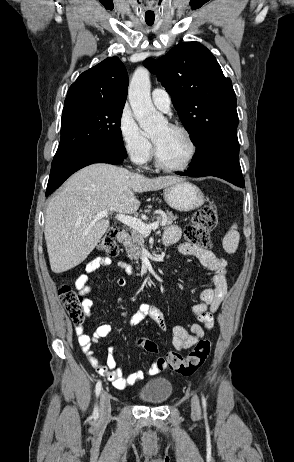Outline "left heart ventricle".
I'll use <instances>...</instances> for the list:
<instances>
[{
    "instance_id": "obj_1",
    "label": "left heart ventricle",
    "mask_w": 294,
    "mask_h": 462,
    "mask_svg": "<svg viewBox=\"0 0 294 462\" xmlns=\"http://www.w3.org/2000/svg\"><path fill=\"white\" fill-rule=\"evenodd\" d=\"M161 160L167 165H181L187 159L190 145L186 136L165 123L152 134Z\"/></svg>"
}]
</instances>
